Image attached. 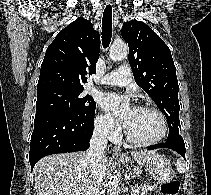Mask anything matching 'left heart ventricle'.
Masks as SVG:
<instances>
[{
  "mask_svg": "<svg viewBox=\"0 0 211 195\" xmlns=\"http://www.w3.org/2000/svg\"><path fill=\"white\" fill-rule=\"evenodd\" d=\"M125 126L134 138L141 141L153 140L162 132V122L156 113L137 108L133 110Z\"/></svg>",
  "mask_w": 211,
  "mask_h": 195,
  "instance_id": "b2bd125f",
  "label": "left heart ventricle"
}]
</instances>
